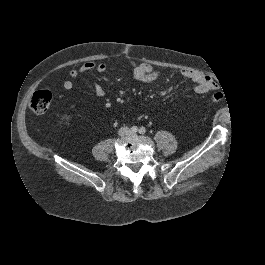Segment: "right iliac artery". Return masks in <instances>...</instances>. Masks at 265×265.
I'll list each match as a JSON object with an SVG mask.
<instances>
[{
  "label": "right iliac artery",
  "instance_id": "obj_1",
  "mask_svg": "<svg viewBox=\"0 0 265 265\" xmlns=\"http://www.w3.org/2000/svg\"><path fill=\"white\" fill-rule=\"evenodd\" d=\"M137 131H138L137 126H133V127H131V132H137Z\"/></svg>",
  "mask_w": 265,
  "mask_h": 265
}]
</instances>
